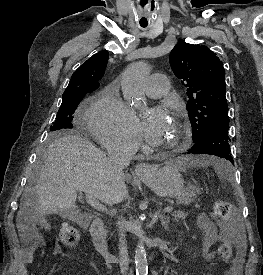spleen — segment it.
Here are the masks:
<instances>
[{"label": "spleen", "mask_w": 263, "mask_h": 275, "mask_svg": "<svg viewBox=\"0 0 263 275\" xmlns=\"http://www.w3.org/2000/svg\"><path fill=\"white\" fill-rule=\"evenodd\" d=\"M195 165L203 167L207 165H212L216 173L220 176V178H226L227 180H231V165L224 160L211 159L204 161L194 160L189 157V159L179 162L177 167L184 171L186 167Z\"/></svg>", "instance_id": "1"}]
</instances>
